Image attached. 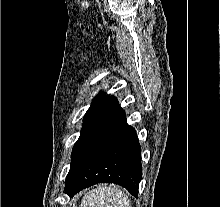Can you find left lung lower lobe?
Wrapping results in <instances>:
<instances>
[{
	"mask_svg": "<svg viewBox=\"0 0 220 207\" xmlns=\"http://www.w3.org/2000/svg\"><path fill=\"white\" fill-rule=\"evenodd\" d=\"M142 177L141 149L135 129L115 97L106 96L84 119L71 155L65 192L75 195L98 183H115L137 197Z\"/></svg>",
	"mask_w": 220,
	"mask_h": 207,
	"instance_id": "0a47b994",
	"label": "left lung lower lobe"
}]
</instances>
